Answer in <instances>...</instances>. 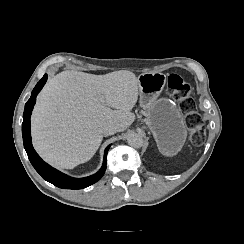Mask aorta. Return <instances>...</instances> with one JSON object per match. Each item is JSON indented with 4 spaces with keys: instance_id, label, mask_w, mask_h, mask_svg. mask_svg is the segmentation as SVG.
<instances>
[{
    "instance_id": "762f6f07",
    "label": "aorta",
    "mask_w": 244,
    "mask_h": 244,
    "mask_svg": "<svg viewBox=\"0 0 244 244\" xmlns=\"http://www.w3.org/2000/svg\"><path fill=\"white\" fill-rule=\"evenodd\" d=\"M127 142L130 146L140 148L143 145V138L138 133H130L127 137Z\"/></svg>"
}]
</instances>
